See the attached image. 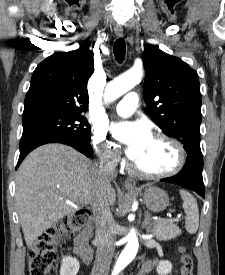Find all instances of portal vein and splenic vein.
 Returning a JSON list of instances; mask_svg holds the SVG:
<instances>
[{"label":"portal vein and splenic vein","mask_w":225,"mask_h":275,"mask_svg":"<svg viewBox=\"0 0 225 275\" xmlns=\"http://www.w3.org/2000/svg\"><path fill=\"white\" fill-rule=\"evenodd\" d=\"M67 203L68 204H71V205H74V204H72L71 202H69V201H67ZM76 207V206H75ZM165 219H163V218H159V219H156V221H164Z\"/></svg>","instance_id":"18ae733b"}]
</instances>
